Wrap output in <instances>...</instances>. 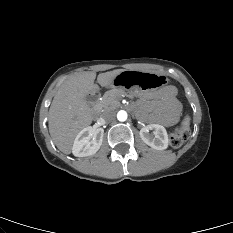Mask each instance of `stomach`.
I'll return each instance as SVG.
<instances>
[{
	"label": "stomach",
	"mask_w": 233,
	"mask_h": 233,
	"mask_svg": "<svg viewBox=\"0 0 233 233\" xmlns=\"http://www.w3.org/2000/svg\"><path fill=\"white\" fill-rule=\"evenodd\" d=\"M167 79L164 75L154 72L127 71L114 78V86L118 90L128 89L131 93L149 91L164 86Z\"/></svg>",
	"instance_id": "obj_1"
}]
</instances>
